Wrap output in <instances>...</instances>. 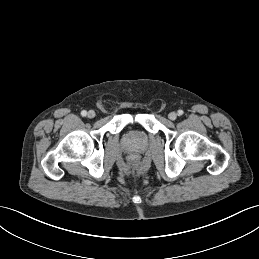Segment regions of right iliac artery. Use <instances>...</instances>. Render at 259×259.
Returning <instances> with one entry per match:
<instances>
[{
    "label": "right iliac artery",
    "mask_w": 259,
    "mask_h": 259,
    "mask_svg": "<svg viewBox=\"0 0 259 259\" xmlns=\"http://www.w3.org/2000/svg\"><path fill=\"white\" fill-rule=\"evenodd\" d=\"M81 115H82L83 117H85V116L87 115V111L83 110V111L81 112Z\"/></svg>",
    "instance_id": "82829eb1"
}]
</instances>
